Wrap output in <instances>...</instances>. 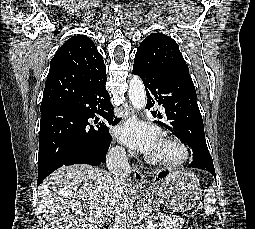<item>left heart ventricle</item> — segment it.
I'll return each instance as SVG.
<instances>
[{
    "mask_svg": "<svg viewBox=\"0 0 255 229\" xmlns=\"http://www.w3.org/2000/svg\"><path fill=\"white\" fill-rule=\"evenodd\" d=\"M175 154H176V152L171 146H169L161 141L153 155L172 157Z\"/></svg>",
    "mask_w": 255,
    "mask_h": 229,
    "instance_id": "left-heart-ventricle-1",
    "label": "left heart ventricle"
}]
</instances>
